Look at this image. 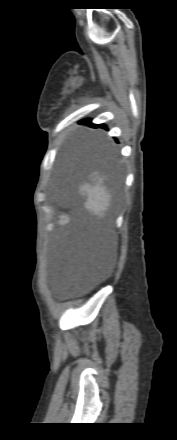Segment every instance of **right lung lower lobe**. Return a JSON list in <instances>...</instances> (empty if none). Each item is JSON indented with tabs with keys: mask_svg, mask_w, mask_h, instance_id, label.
Masks as SVG:
<instances>
[{
	"mask_svg": "<svg viewBox=\"0 0 177 440\" xmlns=\"http://www.w3.org/2000/svg\"><path fill=\"white\" fill-rule=\"evenodd\" d=\"M91 122V120L90 119H87V120H84L83 121V123H90ZM95 127H100V128H106V126L105 125H94Z\"/></svg>",
	"mask_w": 177,
	"mask_h": 440,
	"instance_id": "obj_1",
	"label": "right lung lower lobe"
}]
</instances>
